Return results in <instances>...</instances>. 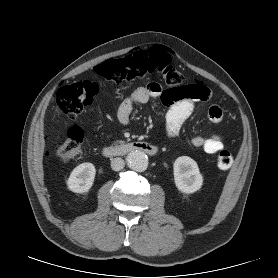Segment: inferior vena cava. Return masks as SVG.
<instances>
[{"label":"inferior vena cava","instance_id":"inferior-vena-cava-1","mask_svg":"<svg viewBox=\"0 0 278 278\" xmlns=\"http://www.w3.org/2000/svg\"><path fill=\"white\" fill-rule=\"evenodd\" d=\"M125 166V162L122 158H114L112 161H111V168L114 170V171H120L121 169H123Z\"/></svg>","mask_w":278,"mask_h":278}]
</instances>
